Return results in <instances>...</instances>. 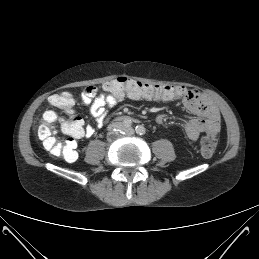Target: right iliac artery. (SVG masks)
<instances>
[{
  "label": "right iliac artery",
  "mask_w": 259,
  "mask_h": 259,
  "mask_svg": "<svg viewBox=\"0 0 259 259\" xmlns=\"http://www.w3.org/2000/svg\"><path fill=\"white\" fill-rule=\"evenodd\" d=\"M131 124H132V122H131L130 119H125V120L123 121V125H124L125 127H130Z\"/></svg>",
  "instance_id": "1"
}]
</instances>
